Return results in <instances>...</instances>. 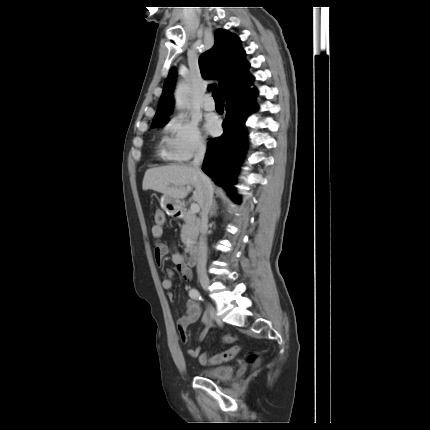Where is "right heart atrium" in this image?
<instances>
[{
	"label": "right heart atrium",
	"mask_w": 430,
	"mask_h": 430,
	"mask_svg": "<svg viewBox=\"0 0 430 430\" xmlns=\"http://www.w3.org/2000/svg\"><path fill=\"white\" fill-rule=\"evenodd\" d=\"M204 150L205 140L194 120L176 115L166 123L162 139V153L166 159L184 162Z\"/></svg>",
	"instance_id": "d8ad5b80"
}]
</instances>
